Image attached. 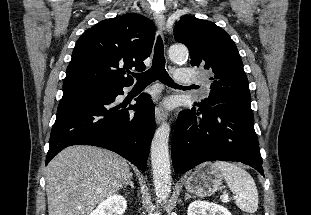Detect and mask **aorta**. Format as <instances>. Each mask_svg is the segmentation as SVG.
Here are the masks:
<instances>
[{
    "instance_id": "obj_1",
    "label": "aorta",
    "mask_w": 311,
    "mask_h": 215,
    "mask_svg": "<svg viewBox=\"0 0 311 215\" xmlns=\"http://www.w3.org/2000/svg\"><path fill=\"white\" fill-rule=\"evenodd\" d=\"M172 61H184L188 57V49L184 45H173L169 49ZM170 126L162 123L156 130L151 143V164L155 193L160 202H165L171 192V169L169 158Z\"/></svg>"
}]
</instances>
